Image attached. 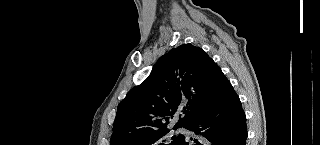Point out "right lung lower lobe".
Wrapping results in <instances>:
<instances>
[{
    "label": "right lung lower lobe",
    "instance_id": "1",
    "mask_svg": "<svg viewBox=\"0 0 320 145\" xmlns=\"http://www.w3.org/2000/svg\"><path fill=\"white\" fill-rule=\"evenodd\" d=\"M214 93L209 109L184 126L201 136L200 140L183 136L178 145H245L246 116L225 75L220 78Z\"/></svg>",
    "mask_w": 320,
    "mask_h": 145
}]
</instances>
